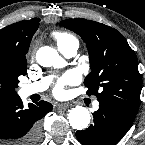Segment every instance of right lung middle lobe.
Listing matches in <instances>:
<instances>
[{
    "label": "right lung middle lobe",
    "instance_id": "1",
    "mask_svg": "<svg viewBox=\"0 0 145 145\" xmlns=\"http://www.w3.org/2000/svg\"><path fill=\"white\" fill-rule=\"evenodd\" d=\"M26 67L12 58L0 59V97L17 96L18 77L26 74Z\"/></svg>",
    "mask_w": 145,
    "mask_h": 145
}]
</instances>
